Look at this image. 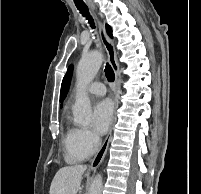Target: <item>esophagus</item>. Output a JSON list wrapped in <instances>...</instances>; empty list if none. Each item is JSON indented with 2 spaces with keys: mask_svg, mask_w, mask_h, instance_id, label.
I'll return each mask as SVG.
<instances>
[{
  "mask_svg": "<svg viewBox=\"0 0 201 194\" xmlns=\"http://www.w3.org/2000/svg\"><path fill=\"white\" fill-rule=\"evenodd\" d=\"M90 6L93 10H95V6L93 4H90ZM98 22H99L100 39H101L103 47L107 53L108 61H109L110 65L112 66L114 73H115L114 102H115V111H116V109L118 107V98H119L120 85H121V74H120V70H119V64L117 61V54H116L114 44L106 32L105 23L103 21H101L100 19ZM115 120H116V116L114 115L109 132H108L100 150L98 151L96 156L91 161V164H90L91 169H96L102 163V161L106 155V152H107V149H108L111 137H112V130H113Z\"/></svg>",
  "mask_w": 201,
  "mask_h": 194,
  "instance_id": "1",
  "label": "esophagus"
}]
</instances>
